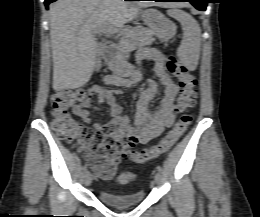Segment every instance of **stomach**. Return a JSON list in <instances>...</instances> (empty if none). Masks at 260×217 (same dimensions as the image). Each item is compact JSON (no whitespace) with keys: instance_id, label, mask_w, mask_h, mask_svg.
Here are the masks:
<instances>
[{"instance_id":"1","label":"stomach","mask_w":260,"mask_h":217,"mask_svg":"<svg viewBox=\"0 0 260 217\" xmlns=\"http://www.w3.org/2000/svg\"><path fill=\"white\" fill-rule=\"evenodd\" d=\"M141 16L152 33L162 40L172 38L176 33V26L156 9L142 11ZM115 74L128 77L132 74L133 67L126 62H119L114 68Z\"/></svg>"}]
</instances>
